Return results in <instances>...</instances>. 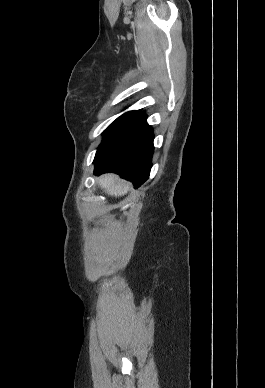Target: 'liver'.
I'll list each match as a JSON object with an SVG mask.
<instances>
[{
    "instance_id": "obj_1",
    "label": "liver",
    "mask_w": 265,
    "mask_h": 388,
    "mask_svg": "<svg viewBox=\"0 0 265 388\" xmlns=\"http://www.w3.org/2000/svg\"><path fill=\"white\" fill-rule=\"evenodd\" d=\"M98 184L102 190H105L108 196H125L130 190L131 184L124 182V180H118V176L114 174H106L102 178H98Z\"/></svg>"
}]
</instances>
